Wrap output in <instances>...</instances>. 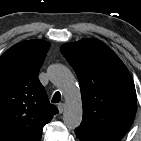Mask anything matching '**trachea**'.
I'll list each match as a JSON object with an SVG mask.
<instances>
[{
    "label": "trachea",
    "mask_w": 141,
    "mask_h": 141,
    "mask_svg": "<svg viewBox=\"0 0 141 141\" xmlns=\"http://www.w3.org/2000/svg\"><path fill=\"white\" fill-rule=\"evenodd\" d=\"M60 100H61V94H60V92H56L55 94H54V96H53V98H52V103H58V102H60Z\"/></svg>",
    "instance_id": "1"
}]
</instances>
